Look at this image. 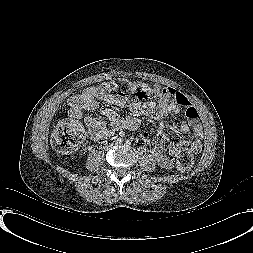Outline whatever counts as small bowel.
I'll return each instance as SVG.
<instances>
[{
  "label": "small bowel",
  "instance_id": "small-bowel-1",
  "mask_svg": "<svg viewBox=\"0 0 253 253\" xmlns=\"http://www.w3.org/2000/svg\"><path fill=\"white\" fill-rule=\"evenodd\" d=\"M155 88L165 90L166 99L156 105L148 107L144 111L130 106L129 111L131 115L129 117H121L111 108L103 109L100 116L91 114L97 107L95 87H88L72 95L68 100V114L74 121L81 119L86 114L85 122L89 129L91 139L97 141L111 136L119 129L134 128L137 123L135 115L139 113H145L157 122L163 123L170 114L176 115L182 112L178 133L184 137L172 141L167 150L165 149L163 139L156 140L152 147V155L157 164L163 169H170L173 166V158L177 157L181 149L188 147L194 153L201 150L203 131L202 126L198 122V110L185 95L173 88ZM141 137L146 143L150 141V133L148 131H144Z\"/></svg>",
  "mask_w": 253,
  "mask_h": 253
}]
</instances>
